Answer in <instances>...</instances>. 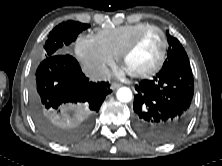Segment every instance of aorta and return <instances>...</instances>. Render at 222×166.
I'll use <instances>...</instances> for the list:
<instances>
[{
	"label": "aorta",
	"mask_w": 222,
	"mask_h": 166,
	"mask_svg": "<svg viewBox=\"0 0 222 166\" xmlns=\"http://www.w3.org/2000/svg\"><path fill=\"white\" fill-rule=\"evenodd\" d=\"M117 99L121 102H130L132 100V92L127 87H122L118 89L117 93Z\"/></svg>",
	"instance_id": "aorta-1"
}]
</instances>
